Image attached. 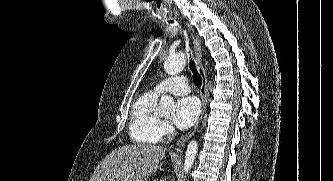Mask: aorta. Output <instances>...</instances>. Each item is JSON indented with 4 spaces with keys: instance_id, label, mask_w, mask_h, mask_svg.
<instances>
[{
    "instance_id": "obj_1",
    "label": "aorta",
    "mask_w": 333,
    "mask_h": 181,
    "mask_svg": "<svg viewBox=\"0 0 333 181\" xmlns=\"http://www.w3.org/2000/svg\"><path fill=\"white\" fill-rule=\"evenodd\" d=\"M186 55L184 53H178L173 56H169L164 62V70L168 75H176L180 73L185 67ZM175 101L170 95H163L159 100V109L162 112H169L174 108ZM198 150V144L196 141H191L186 149L184 157L183 170L188 173L194 163Z\"/></svg>"
}]
</instances>
